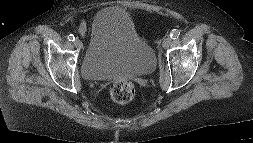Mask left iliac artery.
<instances>
[{"instance_id": "left-iliac-artery-1", "label": "left iliac artery", "mask_w": 253, "mask_h": 143, "mask_svg": "<svg viewBox=\"0 0 253 143\" xmlns=\"http://www.w3.org/2000/svg\"><path fill=\"white\" fill-rule=\"evenodd\" d=\"M179 35H180V30H178V29H173L170 33V37L172 39H177L179 37Z\"/></svg>"}]
</instances>
